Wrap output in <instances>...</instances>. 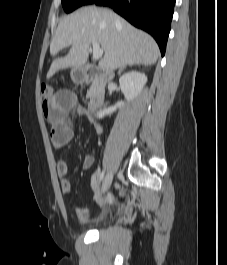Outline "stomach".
Masks as SVG:
<instances>
[{
	"label": "stomach",
	"instance_id": "0dacf381",
	"mask_svg": "<svg viewBox=\"0 0 227 265\" xmlns=\"http://www.w3.org/2000/svg\"><path fill=\"white\" fill-rule=\"evenodd\" d=\"M70 75H71V78H72V80L74 82H80V79L77 76V69L76 68H74V69L71 70Z\"/></svg>",
	"mask_w": 227,
	"mask_h": 265
}]
</instances>
